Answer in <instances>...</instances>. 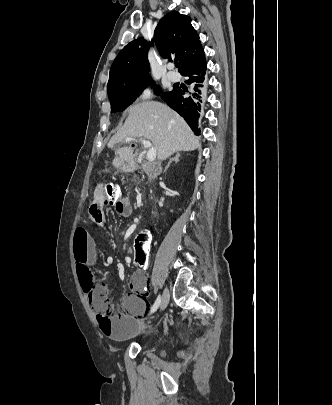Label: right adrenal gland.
<instances>
[{"label": "right adrenal gland", "instance_id": "2a0ac1e0", "mask_svg": "<svg viewBox=\"0 0 332 405\" xmlns=\"http://www.w3.org/2000/svg\"><path fill=\"white\" fill-rule=\"evenodd\" d=\"M179 158H180V153L177 152L176 155H175L173 158H171V159L169 160L167 166H166L165 169H164V172H166V170L169 168L170 164H171L173 161L179 162Z\"/></svg>", "mask_w": 332, "mask_h": 405}]
</instances>
